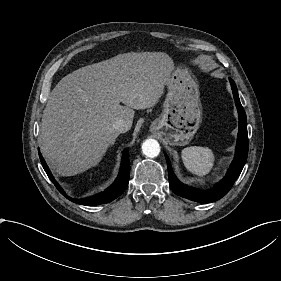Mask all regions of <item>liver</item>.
I'll return each instance as SVG.
<instances>
[{
	"instance_id": "obj_1",
	"label": "liver",
	"mask_w": 281,
	"mask_h": 281,
	"mask_svg": "<svg viewBox=\"0 0 281 281\" xmlns=\"http://www.w3.org/2000/svg\"><path fill=\"white\" fill-rule=\"evenodd\" d=\"M173 70L164 52H131L63 77L42 117L40 148L49 166L62 176L96 166L119 135L113 124L132 125L134 109L153 107Z\"/></svg>"
}]
</instances>
